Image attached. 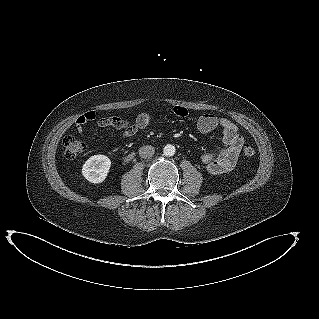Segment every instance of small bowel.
<instances>
[{
	"label": "small bowel",
	"mask_w": 319,
	"mask_h": 319,
	"mask_svg": "<svg viewBox=\"0 0 319 319\" xmlns=\"http://www.w3.org/2000/svg\"><path fill=\"white\" fill-rule=\"evenodd\" d=\"M173 113L180 118L188 115L187 108L183 106H174ZM151 119L148 112L140 113L133 122L122 119L119 116L103 117L98 120L100 127H113L121 130L122 136L129 138L134 136L139 130L145 129ZM218 127L221 128L223 146L214 151L202 155L201 161L207 170L213 174H219L231 170L239 157L244 138L239 132L238 127L229 119L219 118L214 114H203L197 121L198 131L203 134H209ZM78 132H83L84 124L76 123Z\"/></svg>",
	"instance_id": "c3829d8e"
}]
</instances>
